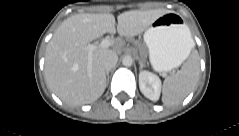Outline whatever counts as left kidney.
<instances>
[{"label":"left kidney","mask_w":239,"mask_h":136,"mask_svg":"<svg viewBox=\"0 0 239 136\" xmlns=\"http://www.w3.org/2000/svg\"><path fill=\"white\" fill-rule=\"evenodd\" d=\"M139 88L145 97L157 101L161 92V80L152 72L141 71L139 73Z\"/></svg>","instance_id":"1"}]
</instances>
